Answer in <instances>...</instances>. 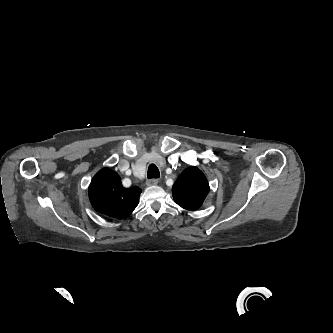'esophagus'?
Masks as SVG:
<instances>
[{
	"mask_svg": "<svg viewBox=\"0 0 333 333\" xmlns=\"http://www.w3.org/2000/svg\"><path fill=\"white\" fill-rule=\"evenodd\" d=\"M158 182H159L158 179L153 178V179H149V180H147L146 184H147L148 186H154V185H157Z\"/></svg>",
	"mask_w": 333,
	"mask_h": 333,
	"instance_id": "esophagus-1",
	"label": "esophagus"
}]
</instances>
